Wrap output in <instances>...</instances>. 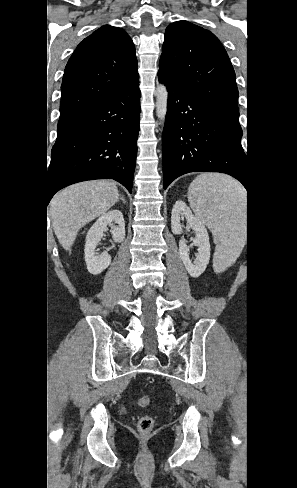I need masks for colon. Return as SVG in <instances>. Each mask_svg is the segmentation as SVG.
Segmentation results:
<instances>
[{
  "mask_svg": "<svg viewBox=\"0 0 297 488\" xmlns=\"http://www.w3.org/2000/svg\"><path fill=\"white\" fill-rule=\"evenodd\" d=\"M149 402L150 398L147 395H143L138 398V404L140 406H147ZM153 425V418L150 415H144L138 421V430L142 433H148L152 430Z\"/></svg>",
  "mask_w": 297,
  "mask_h": 488,
  "instance_id": "obj_1",
  "label": "colon"
}]
</instances>
